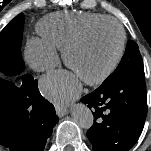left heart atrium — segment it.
Here are the masks:
<instances>
[{
  "mask_svg": "<svg viewBox=\"0 0 151 151\" xmlns=\"http://www.w3.org/2000/svg\"><path fill=\"white\" fill-rule=\"evenodd\" d=\"M40 87L47 98L63 106L80 93L81 80L72 72L58 70L45 75L41 79Z\"/></svg>",
  "mask_w": 151,
  "mask_h": 151,
  "instance_id": "39dd6f15",
  "label": "left heart atrium"
}]
</instances>
